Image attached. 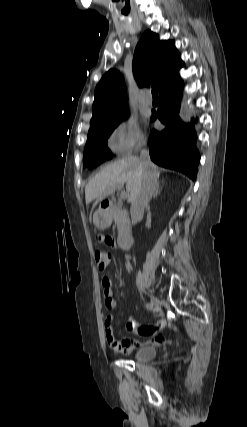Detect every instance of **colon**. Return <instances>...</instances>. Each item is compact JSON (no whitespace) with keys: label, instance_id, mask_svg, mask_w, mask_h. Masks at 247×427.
<instances>
[{"label":"colon","instance_id":"5ec220e1","mask_svg":"<svg viewBox=\"0 0 247 427\" xmlns=\"http://www.w3.org/2000/svg\"><path fill=\"white\" fill-rule=\"evenodd\" d=\"M94 259L99 270H104L110 263L111 253L108 250H97L94 254Z\"/></svg>","mask_w":247,"mask_h":427}]
</instances>
